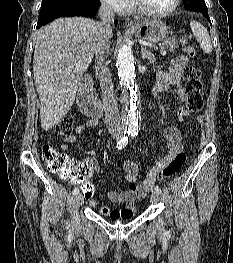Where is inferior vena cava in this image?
Wrapping results in <instances>:
<instances>
[{
    "label": "inferior vena cava",
    "mask_w": 233,
    "mask_h": 263,
    "mask_svg": "<svg viewBox=\"0 0 233 263\" xmlns=\"http://www.w3.org/2000/svg\"><path fill=\"white\" fill-rule=\"evenodd\" d=\"M101 22L98 23V43L95 51V62L97 74L100 78L102 90V102L105 109V121L109 130L121 129L122 121L119 115L117 101L113 94V83L111 73L105 65V52L110 49V34L112 32L111 23L115 15L113 9L107 3H102L99 9Z\"/></svg>",
    "instance_id": "obj_1"
}]
</instances>
